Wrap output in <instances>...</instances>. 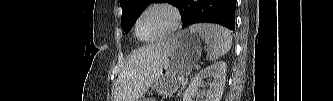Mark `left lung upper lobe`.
I'll use <instances>...</instances> for the list:
<instances>
[{"instance_id":"left-lung-upper-lobe-1","label":"left lung upper lobe","mask_w":333,"mask_h":101,"mask_svg":"<svg viewBox=\"0 0 333 101\" xmlns=\"http://www.w3.org/2000/svg\"><path fill=\"white\" fill-rule=\"evenodd\" d=\"M153 2H168L180 9L181 0H120L122 29L128 32L145 7Z\"/></svg>"}]
</instances>
